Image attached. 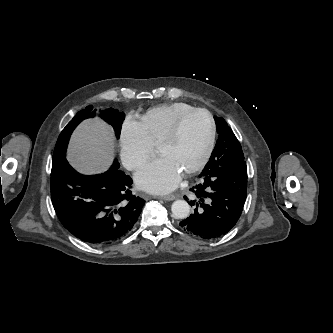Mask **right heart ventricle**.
I'll return each mask as SVG.
<instances>
[{
  "label": "right heart ventricle",
  "instance_id": "e07e8e85",
  "mask_svg": "<svg viewBox=\"0 0 333 333\" xmlns=\"http://www.w3.org/2000/svg\"><path fill=\"white\" fill-rule=\"evenodd\" d=\"M193 108L195 107L184 102L157 106L147 110L141 116V123L153 144L158 145L174 121Z\"/></svg>",
  "mask_w": 333,
  "mask_h": 333
}]
</instances>
